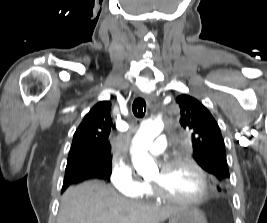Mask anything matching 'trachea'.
Instances as JSON below:
<instances>
[{
    "mask_svg": "<svg viewBox=\"0 0 267 223\" xmlns=\"http://www.w3.org/2000/svg\"><path fill=\"white\" fill-rule=\"evenodd\" d=\"M132 111L138 118H142L146 111V102L143 98H136L132 105Z\"/></svg>",
    "mask_w": 267,
    "mask_h": 223,
    "instance_id": "3493384b",
    "label": "trachea"
}]
</instances>
